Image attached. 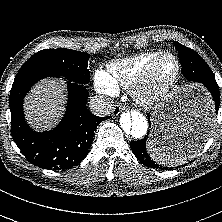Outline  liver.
<instances>
[{
  "instance_id": "liver-1",
  "label": "liver",
  "mask_w": 222,
  "mask_h": 222,
  "mask_svg": "<svg viewBox=\"0 0 222 222\" xmlns=\"http://www.w3.org/2000/svg\"><path fill=\"white\" fill-rule=\"evenodd\" d=\"M66 102L62 80L46 79L38 83L25 100V112L33 128L43 130L55 125Z\"/></svg>"
}]
</instances>
